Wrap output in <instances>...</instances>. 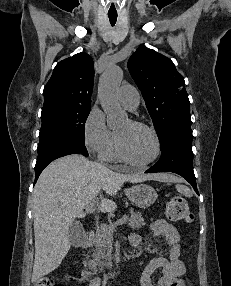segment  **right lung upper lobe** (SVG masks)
I'll list each match as a JSON object with an SVG mask.
<instances>
[{
    "label": "right lung upper lobe",
    "instance_id": "right-lung-upper-lobe-1",
    "mask_svg": "<svg viewBox=\"0 0 231 286\" xmlns=\"http://www.w3.org/2000/svg\"><path fill=\"white\" fill-rule=\"evenodd\" d=\"M94 65L86 53H78L60 61L44 88V106L74 104L90 106Z\"/></svg>",
    "mask_w": 231,
    "mask_h": 286
}]
</instances>
